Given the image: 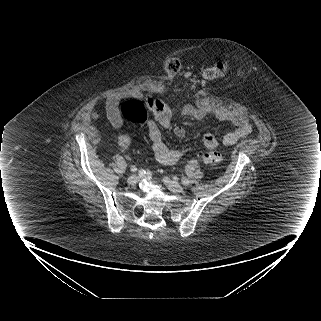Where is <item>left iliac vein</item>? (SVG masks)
Masks as SVG:
<instances>
[{"instance_id":"obj_1","label":"left iliac vein","mask_w":321,"mask_h":321,"mask_svg":"<svg viewBox=\"0 0 321 321\" xmlns=\"http://www.w3.org/2000/svg\"><path fill=\"white\" fill-rule=\"evenodd\" d=\"M165 185L173 192V193H182L184 188L177 182L171 180L168 177H164L163 179Z\"/></svg>"}]
</instances>
